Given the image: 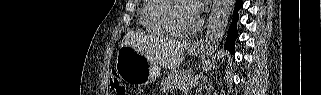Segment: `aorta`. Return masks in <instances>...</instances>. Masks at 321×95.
I'll return each instance as SVG.
<instances>
[{
	"label": "aorta",
	"instance_id": "obj_1",
	"mask_svg": "<svg viewBox=\"0 0 321 95\" xmlns=\"http://www.w3.org/2000/svg\"><path fill=\"white\" fill-rule=\"evenodd\" d=\"M235 0H214L205 34L206 56L210 57L217 50L222 40Z\"/></svg>",
	"mask_w": 321,
	"mask_h": 95
}]
</instances>
